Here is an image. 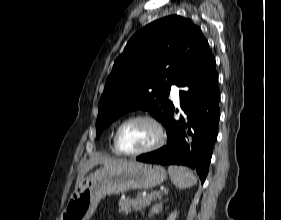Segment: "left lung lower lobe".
Returning a JSON list of instances; mask_svg holds the SVG:
<instances>
[{
    "mask_svg": "<svg viewBox=\"0 0 281 220\" xmlns=\"http://www.w3.org/2000/svg\"><path fill=\"white\" fill-rule=\"evenodd\" d=\"M178 86L184 88L179 94L186 121L183 117L176 121L173 108L164 125L168 135L167 145L138 156L136 160L186 165L195 169L204 183L220 119L218 74L210 48L192 62Z\"/></svg>",
    "mask_w": 281,
    "mask_h": 220,
    "instance_id": "left-lung-lower-lobe-1",
    "label": "left lung lower lobe"
}]
</instances>
